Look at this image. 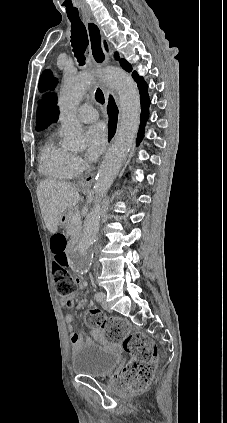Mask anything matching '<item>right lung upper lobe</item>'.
Wrapping results in <instances>:
<instances>
[{
    "label": "right lung upper lobe",
    "mask_w": 227,
    "mask_h": 423,
    "mask_svg": "<svg viewBox=\"0 0 227 423\" xmlns=\"http://www.w3.org/2000/svg\"><path fill=\"white\" fill-rule=\"evenodd\" d=\"M105 44V48L107 49V45ZM57 79L52 77L51 71H44L41 75L40 82H39V90L42 92L48 88H52L56 85Z\"/></svg>",
    "instance_id": "obj_1"
}]
</instances>
